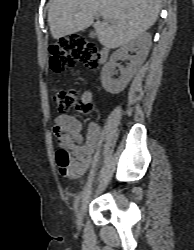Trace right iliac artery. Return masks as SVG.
<instances>
[{
  "mask_svg": "<svg viewBox=\"0 0 194 250\" xmlns=\"http://www.w3.org/2000/svg\"><path fill=\"white\" fill-rule=\"evenodd\" d=\"M80 193L75 197V201H74V211L75 213L77 212L78 210V206H79V202H80Z\"/></svg>",
  "mask_w": 194,
  "mask_h": 250,
  "instance_id": "right-iliac-artery-1",
  "label": "right iliac artery"
}]
</instances>
